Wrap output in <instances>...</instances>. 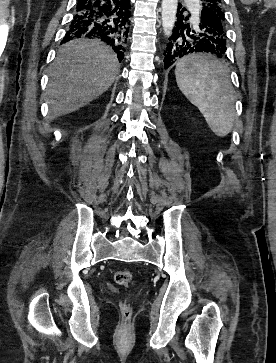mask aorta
I'll return each mask as SVG.
<instances>
[{
	"label": "aorta",
	"instance_id": "aorta-1",
	"mask_svg": "<svg viewBox=\"0 0 276 363\" xmlns=\"http://www.w3.org/2000/svg\"><path fill=\"white\" fill-rule=\"evenodd\" d=\"M178 0H162V28L165 36L169 37L172 34L176 21Z\"/></svg>",
	"mask_w": 276,
	"mask_h": 363
}]
</instances>
